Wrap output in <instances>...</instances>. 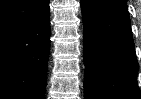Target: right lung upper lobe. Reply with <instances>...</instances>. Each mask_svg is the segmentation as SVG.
I'll use <instances>...</instances> for the list:
<instances>
[{
    "label": "right lung upper lobe",
    "instance_id": "obj_1",
    "mask_svg": "<svg viewBox=\"0 0 141 99\" xmlns=\"http://www.w3.org/2000/svg\"><path fill=\"white\" fill-rule=\"evenodd\" d=\"M9 0H1L0 1V4H2V3H5V2H8Z\"/></svg>",
    "mask_w": 141,
    "mask_h": 99
}]
</instances>
